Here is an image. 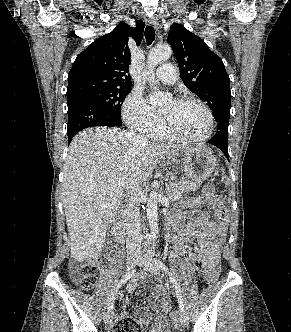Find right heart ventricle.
<instances>
[{"mask_svg":"<svg viewBox=\"0 0 291 332\" xmlns=\"http://www.w3.org/2000/svg\"><path fill=\"white\" fill-rule=\"evenodd\" d=\"M150 137L156 140L171 141L174 140L162 127L149 133Z\"/></svg>","mask_w":291,"mask_h":332,"instance_id":"right-heart-ventricle-1","label":"right heart ventricle"}]
</instances>
